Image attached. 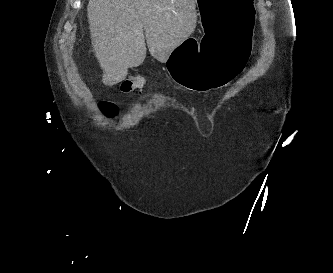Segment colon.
Listing matches in <instances>:
<instances>
[{"label":"colon","mask_w":333,"mask_h":273,"mask_svg":"<svg viewBox=\"0 0 333 273\" xmlns=\"http://www.w3.org/2000/svg\"><path fill=\"white\" fill-rule=\"evenodd\" d=\"M145 85V80L143 78H139V77H132L129 79H126L123 83H122V90L125 92H129L132 91L134 89H138L141 88ZM101 109L108 115H115V113L117 112V107L116 105H114L113 103L110 102H102L100 104Z\"/></svg>","instance_id":"5ec220e1"}]
</instances>
